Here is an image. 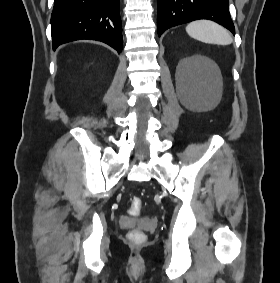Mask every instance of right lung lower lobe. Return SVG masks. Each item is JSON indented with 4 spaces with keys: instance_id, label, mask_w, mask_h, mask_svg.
Instances as JSON below:
<instances>
[{
    "instance_id": "obj_1",
    "label": "right lung lower lobe",
    "mask_w": 280,
    "mask_h": 283,
    "mask_svg": "<svg viewBox=\"0 0 280 283\" xmlns=\"http://www.w3.org/2000/svg\"><path fill=\"white\" fill-rule=\"evenodd\" d=\"M120 0H55L51 15L53 50L81 39L102 41L122 51Z\"/></svg>"
}]
</instances>
